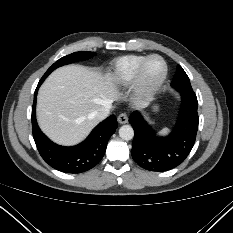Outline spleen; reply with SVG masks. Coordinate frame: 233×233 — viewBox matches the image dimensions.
Masks as SVG:
<instances>
[{
  "label": "spleen",
  "instance_id": "obj_1",
  "mask_svg": "<svg viewBox=\"0 0 233 233\" xmlns=\"http://www.w3.org/2000/svg\"><path fill=\"white\" fill-rule=\"evenodd\" d=\"M169 132H170V130H169L168 128H163V129L159 132V134H160V135H167Z\"/></svg>",
  "mask_w": 233,
  "mask_h": 233
}]
</instances>
